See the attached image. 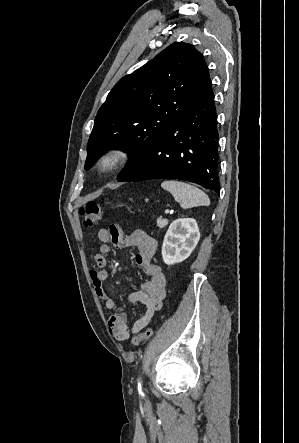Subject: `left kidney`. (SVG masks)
<instances>
[{
    "label": "left kidney",
    "mask_w": 299,
    "mask_h": 443,
    "mask_svg": "<svg viewBox=\"0 0 299 443\" xmlns=\"http://www.w3.org/2000/svg\"><path fill=\"white\" fill-rule=\"evenodd\" d=\"M200 239L197 222L193 218L174 220L164 237L162 258L165 264L173 265L187 259Z\"/></svg>",
    "instance_id": "5707ae66"
}]
</instances>
